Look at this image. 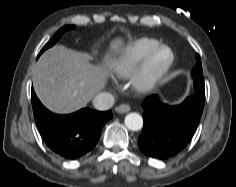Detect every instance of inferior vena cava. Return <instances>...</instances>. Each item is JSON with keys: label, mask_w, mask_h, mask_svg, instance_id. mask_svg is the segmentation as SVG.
<instances>
[{"label": "inferior vena cava", "mask_w": 236, "mask_h": 187, "mask_svg": "<svg viewBox=\"0 0 236 187\" xmlns=\"http://www.w3.org/2000/svg\"><path fill=\"white\" fill-rule=\"evenodd\" d=\"M114 105V96L108 92L97 94L93 100V106L100 111L109 110Z\"/></svg>", "instance_id": "inferior-vena-cava-1"}]
</instances>
